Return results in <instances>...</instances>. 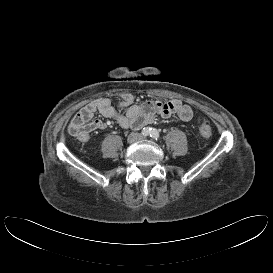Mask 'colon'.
<instances>
[{"label": "colon", "instance_id": "colon-1", "mask_svg": "<svg viewBox=\"0 0 273 273\" xmlns=\"http://www.w3.org/2000/svg\"><path fill=\"white\" fill-rule=\"evenodd\" d=\"M199 131H200L201 135L206 137V138H208V137H210L212 135L211 125L207 121H203V122L200 123Z\"/></svg>", "mask_w": 273, "mask_h": 273}]
</instances>
